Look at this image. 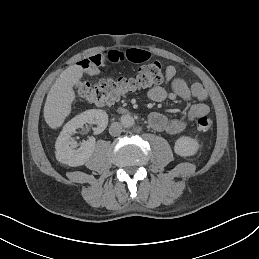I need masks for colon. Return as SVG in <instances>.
<instances>
[{
    "instance_id": "obj_1",
    "label": "colon",
    "mask_w": 259,
    "mask_h": 259,
    "mask_svg": "<svg viewBox=\"0 0 259 259\" xmlns=\"http://www.w3.org/2000/svg\"><path fill=\"white\" fill-rule=\"evenodd\" d=\"M162 81L161 64L158 61H154L142 66L134 77L104 79L98 83L81 81L77 84L76 91L87 103L109 106L130 93L155 87ZM212 124V119L206 115L196 119V128L199 131L209 130Z\"/></svg>"
}]
</instances>
